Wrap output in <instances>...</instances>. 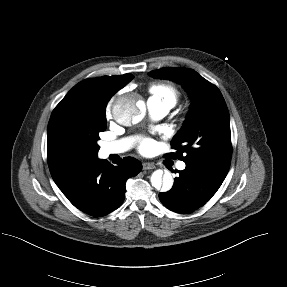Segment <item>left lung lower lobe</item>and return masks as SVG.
<instances>
[{"label":"left lung lower lobe","instance_id":"obj_1","mask_svg":"<svg viewBox=\"0 0 287 287\" xmlns=\"http://www.w3.org/2000/svg\"><path fill=\"white\" fill-rule=\"evenodd\" d=\"M171 190L161 192L162 204L177 213H191L203 206L217 192L223 179L209 173L206 169L186 164V168L178 171Z\"/></svg>","mask_w":287,"mask_h":287}]
</instances>
